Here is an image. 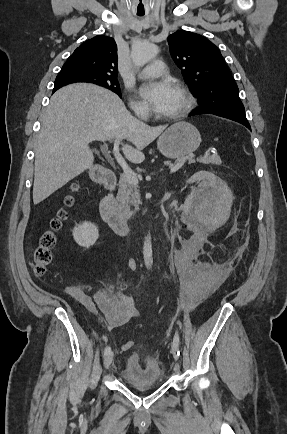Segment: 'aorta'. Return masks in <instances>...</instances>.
<instances>
[{
  "label": "aorta",
  "instance_id": "762f6f07",
  "mask_svg": "<svg viewBox=\"0 0 287 434\" xmlns=\"http://www.w3.org/2000/svg\"><path fill=\"white\" fill-rule=\"evenodd\" d=\"M159 52V48L154 44H140L134 46L131 51V58L136 67H142L152 60ZM143 257L148 269L153 263L151 237L147 236L143 246Z\"/></svg>",
  "mask_w": 287,
  "mask_h": 434
}]
</instances>
